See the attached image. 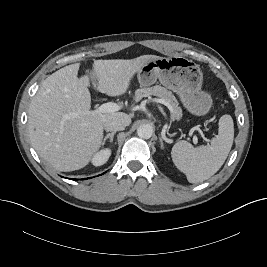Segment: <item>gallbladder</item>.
I'll return each instance as SVG.
<instances>
[{
	"label": "gallbladder",
	"mask_w": 267,
	"mask_h": 267,
	"mask_svg": "<svg viewBox=\"0 0 267 267\" xmlns=\"http://www.w3.org/2000/svg\"><path fill=\"white\" fill-rule=\"evenodd\" d=\"M86 79L90 80L93 83L94 86H97V79L95 78L93 72H92L90 78H86Z\"/></svg>",
	"instance_id": "gallbladder-1"
}]
</instances>
